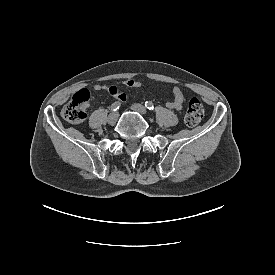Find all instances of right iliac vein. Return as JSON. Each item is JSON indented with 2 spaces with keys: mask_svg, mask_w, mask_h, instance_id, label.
Masks as SVG:
<instances>
[{
  "mask_svg": "<svg viewBox=\"0 0 275 275\" xmlns=\"http://www.w3.org/2000/svg\"><path fill=\"white\" fill-rule=\"evenodd\" d=\"M117 119H118V113L117 112H112L108 116V122L110 124H115Z\"/></svg>",
  "mask_w": 275,
  "mask_h": 275,
  "instance_id": "1",
  "label": "right iliac vein"
}]
</instances>
